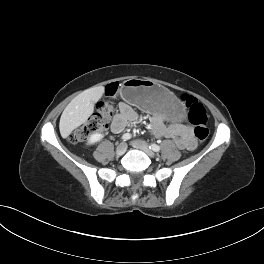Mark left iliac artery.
Wrapping results in <instances>:
<instances>
[{"instance_id": "1", "label": "left iliac artery", "mask_w": 264, "mask_h": 264, "mask_svg": "<svg viewBox=\"0 0 264 264\" xmlns=\"http://www.w3.org/2000/svg\"><path fill=\"white\" fill-rule=\"evenodd\" d=\"M149 148L152 149V150L155 151V152H159V151L161 150L160 146L157 145V144H154V143L151 144V145L149 146Z\"/></svg>"}]
</instances>
